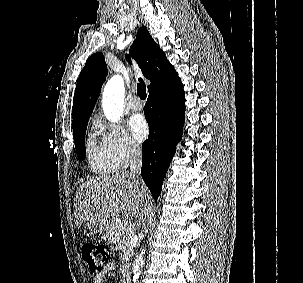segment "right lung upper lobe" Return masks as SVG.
<instances>
[{
  "label": "right lung upper lobe",
  "mask_w": 303,
  "mask_h": 283,
  "mask_svg": "<svg viewBox=\"0 0 303 283\" xmlns=\"http://www.w3.org/2000/svg\"><path fill=\"white\" fill-rule=\"evenodd\" d=\"M130 56L136 60L143 75L150 80L149 92L178 76L174 66L167 60L165 53L145 26L139 28L136 40L130 48V55H126L127 61L131 63ZM106 75L107 67L103 54L98 52L90 56L79 75L75 89L72 108L73 128L89 120Z\"/></svg>",
  "instance_id": "cb5924a9"
}]
</instances>
